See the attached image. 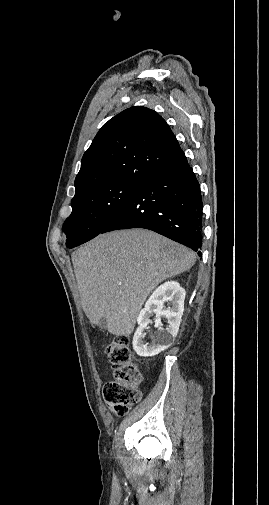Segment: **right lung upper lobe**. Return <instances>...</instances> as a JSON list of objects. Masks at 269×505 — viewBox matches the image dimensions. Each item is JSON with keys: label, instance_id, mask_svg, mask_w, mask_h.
<instances>
[{"label": "right lung upper lobe", "instance_id": "right-lung-upper-lobe-1", "mask_svg": "<svg viewBox=\"0 0 269 505\" xmlns=\"http://www.w3.org/2000/svg\"><path fill=\"white\" fill-rule=\"evenodd\" d=\"M184 155L165 120L133 106L110 119L84 153L75 195L104 183L142 184L155 171Z\"/></svg>", "mask_w": 269, "mask_h": 505}]
</instances>
